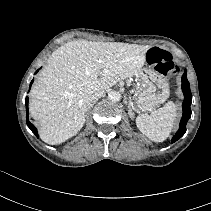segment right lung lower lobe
Listing matches in <instances>:
<instances>
[{
  "instance_id": "1",
  "label": "right lung lower lobe",
  "mask_w": 211,
  "mask_h": 211,
  "mask_svg": "<svg viewBox=\"0 0 211 211\" xmlns=\"http://www.w3.org/2000/svg\"><path fill=\"white\" fill-rule=\"evenodd\" d=\"M32 83H33V80L30 83V87H31ZM26 113H27V125L30 128V130L38 137V132H37L36 127L32 123H30L29 120H28V97H26Z\"/></svg>"
}]
</instances>
